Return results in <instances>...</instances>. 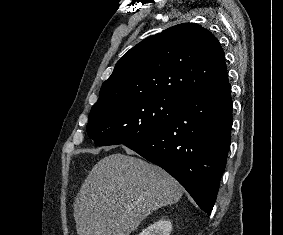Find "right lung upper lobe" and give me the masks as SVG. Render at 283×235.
<instances>
[{
	"label": "right lung upper lobe",
	"instance_id": "right-lung-upper-lobe-1",
	"mask_svg": "<svg viewBox=\"0 0 283 235\" xmlns=\"http://www.w3.org/2000/svg\"><path fill=\"white\" fill-rule=\"evenodd\" d=\"M227 80L218 39L198 24L183 23L144 39L123 55L94 106L139 96L180 100Z\"/></svg>",
	"mask_w": 283,
	"mask_h": 235
}]
</instances>
